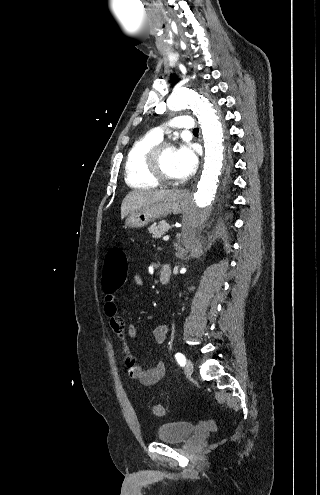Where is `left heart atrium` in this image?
Wrapping results in <instances>:
<instances>
[{
  "mask_svg": "<svg viewBox=\"0 0 320 495\" xmlns=\"http://www.w3.org/2000/svg\"><path fill=\"white\" fill-rule=\"evenodd\" d=\"M175 167L179 178L189 177L197 167V157L191 145H182L175 151Z\"/></svg>",
  "mask_w": 320,
  "mask_h": 495,
  "instance_id": "39dd6f15",
  "label": "left heart atrium"
}]
</instances>
